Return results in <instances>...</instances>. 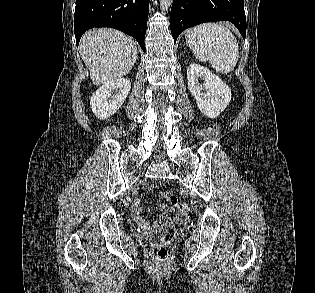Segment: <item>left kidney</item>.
<instances>
[{
  "instance_id": "left-kidney-1",
  "label": "left kidney",
  "mask_w": 315,
  "mask_h": 293,
  "mask_svg": "<svg viewBox=\"0 0 315 293\" xmlns=\"http://www.w3.org/2000/svg\"><path fill=\"white\" fill-rule=\"evenodd\" d=\"M198 79H203L201 85ZM188 88L199 110L209 118H216L231 101V89L212 71L198 64L187 69ZM203 90L206 92L203 93Z\"/></svg>"
}]
</instances>
